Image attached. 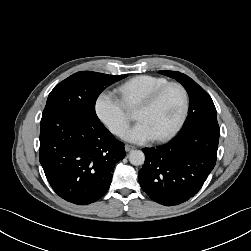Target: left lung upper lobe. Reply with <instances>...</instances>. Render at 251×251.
Returning a JSON list of instances; mask_svg holds the SVG:
<instances>
[{"label": "left lung upper lobe", "instance_id": "5c2ea615", "mask_svg": "<svg viewBox=\"0 0 251 251\" xmlns=\"http://www.w3.org/2000/svg\"><path fill=\"white\" fill-rule=\"evenodd\" d=\"M159 73L176 79L188 92L190 100L188 116L180 132L199 125H218L216 108L211 97L194 80L176 71H159Z\"/></svg>", "mask_w": 251, "mask_h": 251}]
</instances>
